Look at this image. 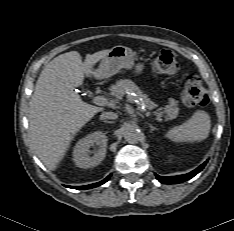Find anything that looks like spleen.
<instances>
[{"label": "spleen", "mask_w": 234, "mask_h": 231, "mask_svg": "<svg viewBox=\"0 0 234 231\" xmlns=\"http://www.w3.org/2000/svg\"><path fill=\"white\" fill-rule=\"evenodd\" d=\"M210 128L209 114L203 110H197L182 125L171 128L165 137L176 143L201 142L208 137Z\"/></svg>", "instance_id": "3e777b00"}]
</instances>
